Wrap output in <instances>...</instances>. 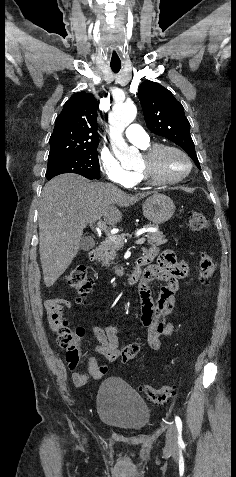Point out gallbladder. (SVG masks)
<instances>
[{
  "mask_svg": "<svg viewBox=\"0 0 236 477\" xmlns=\"http://www.w3.org/2000/svg\"><path fill=\"white\" fill-rule=\"evenodd\" d=\"M94 245H95V242L93 238L90 236L84 237L80 242V248L83 251H89L90 249L94 247Z\"/></svg>",
  "mask_w": 236,
  "mask_h": 477,
  "instance_id": "1",
  "label": "gallbladder"
}]
</instances>
